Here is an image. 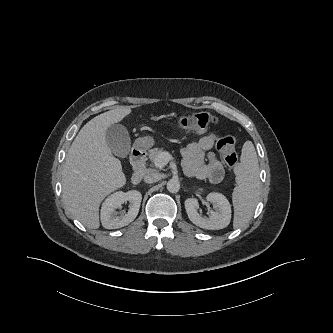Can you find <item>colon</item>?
<instances>
[{"label":"colon","instance_id":"colon-1","mask_svg":"<svg viewBox=\"0 0 333 333\" xmlns=\"http://www.w3.org/2000/svg\"><path fill=\"white\" fill-rule=\"evenodd\" d=\"M218 124V119L208 113L200 112L183 116L180 119L181 127L188 132L205 131ZM216 149L221 154L228 167L237 163L238 155L235 138L231 135L220 137L216 143Z\"/></svg>","mask_w":333,"mask_h":333}]
</instances>
